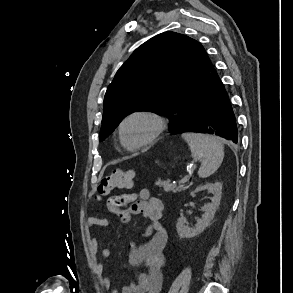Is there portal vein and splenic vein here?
Instances as JSON below:
<instances>
[{"instance_id": "obj_1", "label": "portal vein and splenic vein", "mask_w": 293, "mask_h": 293, "mask_svg": "<svg viewBox=\"0 0 293 293\" xmlns=\"http://www.w3.org/2000/svg\"><path fill=\"white\" fill-rule=\"evenodd\" d=\"M187 180H188V177H185V178H183L179 183H180V184L185 183Z\"/></svg>"}]
</instances>
